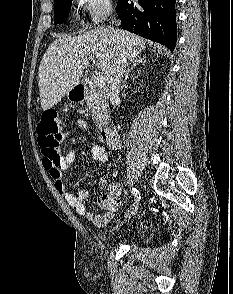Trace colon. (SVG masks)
<instances>
[{
  "label": "colon",
  "instance_id": "1",
  "mask_svg": "<svg viewBox=\"0 0 233 294\" xmlns=\"http://www.w3.org/2000/svg\"><path fill=\"white\" fill-rule=\"evenodd\" d=\"M39 145L45 156H59V145L63 139V122L58 113L53 110H46L42 113L37 124ZM106 206L116 209L120 206L119 201L109 200Z\"/></svg>",
  "mask_w": 233,
  "mask_h": 294
}]
</instances>
